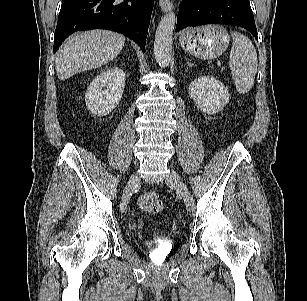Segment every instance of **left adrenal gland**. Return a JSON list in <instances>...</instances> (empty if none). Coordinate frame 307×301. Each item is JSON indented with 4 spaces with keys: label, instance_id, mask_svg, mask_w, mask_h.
I'll list each match as a JSON object with an SVG mask.
<instances>
[{
    "label": "left adrenal gland",
    "instance_id": "a2214340",
    "mask_svg": "<svg viewBox=\"0 0 307 301\" xmlns=\"http://www.w3.org/2000/svg\"><path fill=\"white\" fill-rule=\"evenodd\" d=\"M192 65H193L192 63H189V62H188V66H189V67L192 66Z\"/></svg>",
    "mask_w": 307,
    "mask_h": 301
}]
</instances>
